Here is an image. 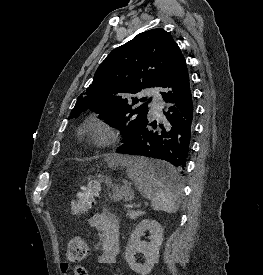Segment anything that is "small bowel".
Here are the masks:
<instances>
[{
  "label": "small bowel",
  "instance_id": "1",
  "mask_svg": "<svg viewBox=\"0 0 263 275\" xmlns=\"http://www.w3.org/2000/svg\"><path fill=\"white\" fill-rule=\"evenodd\" d=\"M89 225L96 229L101 239L100 262L112 264L119 253L120 221L109 209L104 208L93 214L88 221ZM63 266V270H66Z\"/></svg>",
  "mask_w": 263,
  "mask_h": 275
}]
</instances>
